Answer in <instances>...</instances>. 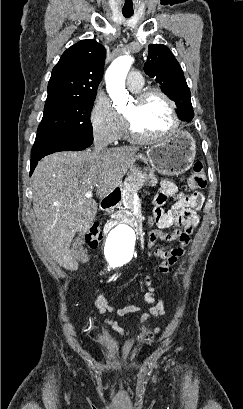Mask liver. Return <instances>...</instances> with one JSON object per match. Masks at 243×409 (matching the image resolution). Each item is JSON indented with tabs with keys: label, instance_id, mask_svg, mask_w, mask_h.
I'll list each match as a JSON object with an SVG mask.
<instances>
[{
	"label": "liver",
	"instance_id": "liver-1",
	"mask_svg": "<svg viewBox=\"0 0 243 409\" xmlns=\"http://www.w3.org/2000/svg\"><path fill=\"white\" fill-rule=\"evenodd\" d=\"M135 146L95 152H58L44 157L31 178L33 210L49 254L67 270H76L82 257V241L97 214V203L85 194L96 191L103 198L121 184L131 167Z\"/></svg>",
	"mask_w": 243,
	"mask_h": 409
}]
</instances>
